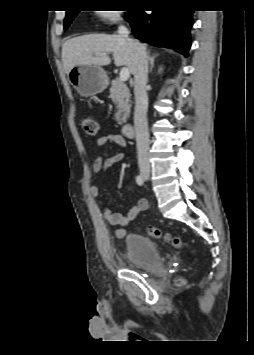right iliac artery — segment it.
Returning a JSON list of instances; mask_svg holds the SVG:
<instances>
[{
	"instance_id": "obj_1",
	"label": "right iliac artery",
	"mask_w": 254,
	"mask_h": 355,
	"mask_svg": "<svg viewBox=\"0 0 254 355\" xmlns=\"http://www.w3.org/2000/svg\"><path fill=\"white\" fill-rule=\"evenodd\" d=\"M136 182H137V184L138 185H143V183H144V179H143V177L141 176V175H138L137 177H136Z\"/></svg>"
}]
</instances>
